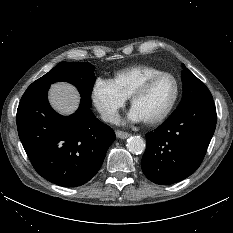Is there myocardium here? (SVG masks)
<instances>
[{"label": "myocardium", "mask_w": 233, "mask_h": 233, "mask_svg": "<svg viewBox=\"0 0 233 233\" xmlns=\"http://www.w3.org/2000/svg\"><path fill=\"white\" fill-rule=\"evenodd\" d=\"M164 77H169L174 81L175 84V92L173 95V98L171 100V102L169 103V105L167 106V108L164 110L163 113H161L159 116L152 118V119H145L143 120V122L146 125H158L162 122H164L172 113L174 107L177 104L179 95H180V84L178 79L171 73L168 72H161L155 75H152L150 77H148L147 79H145L135 90L134 92L131 94L130 98V105L131 107H133V104L135 103V101L140 98L141 96H143L149 89L150 87L159 79L164 78Z\"/></svg>", "instance_id": "obj_1"}]
</instances>
